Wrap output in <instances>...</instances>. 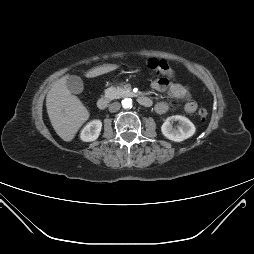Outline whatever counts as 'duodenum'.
<instances>
[{"label": "duodenum", "instance_id": "410a0bca", "mask_svg": "<svg viewBox=\"0 0 254 254\" xmlns=\"http://www.w3.org/2000/svg\"><path fill=\"white\" fill-rule=\"evenodd\" d=\"M137 99H138L139 104H141L144 107H150L152 105L151 99L147 96H138ZM108 104H109V100L106 97H101L97 101V107L100 110L106 109Z\"/></svg>", "mask_w": 254, "mask_h": 254}]
</instances>
